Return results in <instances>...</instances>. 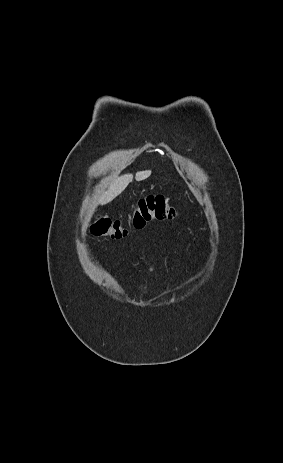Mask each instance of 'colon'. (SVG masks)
Listing matches in <instances>:
<instances>
[{
    "instance_id": "5ec220e1",
    "label": "colon",
    "mask_w": 283,
    "mask_h": 463,
    "mask_svg": "<svg viewBox=\"0 0 283 463\" xmlns=\"http://www.w3.org/2000/svg\"><path fill=\"white\" fill-rule=\"evenodd\" d=\"M176 215V210L163 196H148L137 203L127 222L97 217L90 229L93 234L98 236L121 239L134 230L142 229L152 220L174 219Z\"/></svg>"
}]
</instances>
